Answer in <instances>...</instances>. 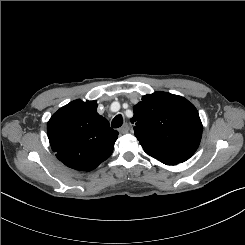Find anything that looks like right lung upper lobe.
Returning <instances> with one entry per match:
<instances>
[{"label":"right lung upper lobe","mask_w":245,"mask_h":245,"mask_svg":"<svg viewBox=\"0 0 245 245\" xmlns=\"http://www.w3.org/2000/svg\"><path fill=\"white\" fill-rule=\"evenodd\" d=\"M97 102L75 100L52 115L47 134L56 157L75 170L91 171L113 152L118 132L97 113Z\"/></svg>","instance_id":"1"}]
</instances>
